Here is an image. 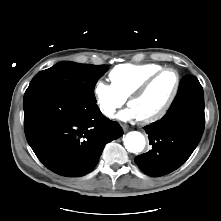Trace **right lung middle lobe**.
Masks as SVG:
<instances>
[{
	"label": "right lung middle lobe",
	"instance_id": "obj_1",
	"mask_svg": "<svg viewBox=\"0 0 221 221\" xmlns=\"http://www.w3.org/2000/svg\"><path fill=\"white\" fill-rule=\"evenodd\" d=\"M106 71L105 65L60 62L36 74L25 94L51 93L95 104L94 87Z\"/></svg>",
	"mask_w": 221,
	"mask_h": 221
}]
</instances>
